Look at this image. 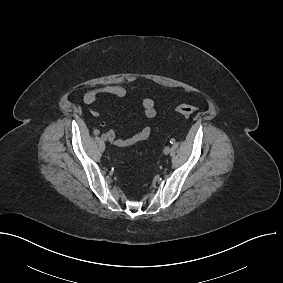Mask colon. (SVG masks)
Segmentation results:
<instances>
[{
	"instance_id": "1",
	"label": "colon",
	"mask_w": 283,
	"mask_h": 283,
	"mask_svg": "<svg viewBox=\"0 0 283 283\" xmlns=\"http://www.w3.org/2000/svg\"><path fill=\"white\" fill-rule=\"evenodd\" d=\"M176 112L183 116H190L196 111V107L190 104H180L176 107Z\"/></svg>"
}]
</instances>
